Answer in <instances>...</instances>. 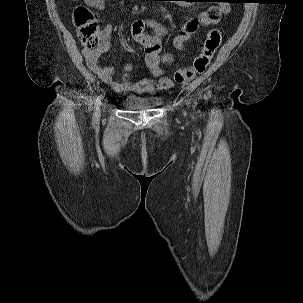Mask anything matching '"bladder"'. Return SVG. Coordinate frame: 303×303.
<instances>
[{
	"label": "bladder",
	"mask_w": 303,
	"mask_h": 303,
	"mask_svg": "<svg viewBox=\"0 0 303 303\" xmlns=\"http://www.w3.org/2000/svg\"><path fill=\"white\" fill-rule=\"evenodd\" d=\"M161 103V97L156 95L141 96L130 94L123 99L122 106L128 111H141L156 108Z\"/></svg>",
	"instance_id": "31cf9c89"
}]
</instances>
